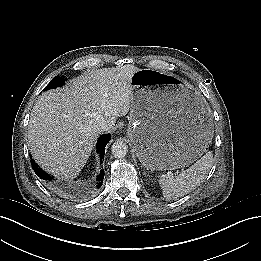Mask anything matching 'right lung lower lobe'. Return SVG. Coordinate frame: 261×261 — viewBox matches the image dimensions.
Here are the masks:
<instances>
[{"label": "right lung lower lobe", "instance_id": "obj_1", "mask_svg": "<svg viewBox=\"0 0 261 261\" xmlns=\"http://www.w3.org/2000/svg\"><path fill=\"white\" fill-rule=\"evenodd\" d=\"M110 134H106V135H102L97 143V152L100 154L101 160L105 154V146L106 144L110 141ZM31 165L34 169V172L36 173L37 176H39L42 180L46 181L47 183H49L53 178L48 175L46 172H44L35 162L34 160H31ZM104 178V173L102 171V173L99 175V177L97 178L99 181H103ZM101 182L98 184V188L101 186ZM54 183H49V186L53 187Z\"/></svg>", "mask_w": 261, "mask_h": 261}]
</instances>
